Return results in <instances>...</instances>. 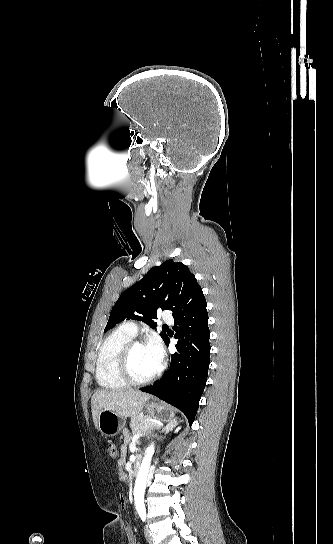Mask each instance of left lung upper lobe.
<instances>
[{
    "label": "left lung upper lobe",
    "instance_id": "left-lung-upper-lobe-1",
    "mask_svg": "<svg viewBox=\"0 0 333 544\" xmlns=\"http://www.w3.org/2000/svg\"><path fill=\"white\" fill-rule=\"evenodd\" d=\"M202 293L195 276L180 262L166 260L153 267L140 281L119 297L104 331L127 319L143 321L156 328L157 310H171L173 316ZM165 341L167 334L160 333Z\"/></svg>",
    "mask_w": 333,
    "mask_h": 544
}]
</instances>
